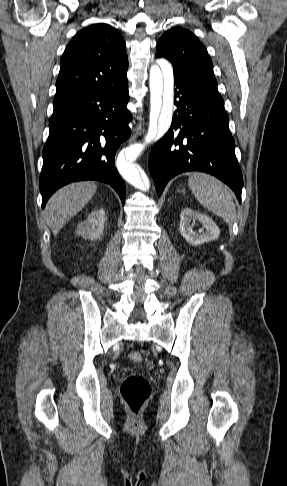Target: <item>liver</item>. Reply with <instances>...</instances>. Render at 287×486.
Wrapping results in <instances>:
<instances>
[{
    "mask_svg": "<svg viewBox=\"0 0 287 486\" xmlns=\"http://www.w3.org/2000/svg\"><path fill=\"white\" fill-rule=\"evenodd\" d=\"M97 190L94 182H76L59 189L47 203L45 216L56 236L63 226L81 211Z\"/></svg>",
    "mask_w": 287,
    "mask_h": 486,
    "instance_id": "1",
    "label": "liver"
}]
</instances>
